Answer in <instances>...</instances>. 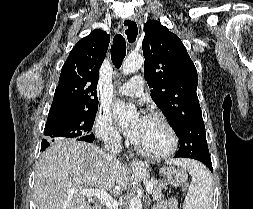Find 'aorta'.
Here are the masks:
<instances>
[{
    "instance_id": "aorta-1",
    "label": "aorta",
    "mask_w": 253,
    "mask_h": 209,
    "mask_svg": "<svg viewBox=\"0 0 253 209\" xmlns=\"http://www.w3.org/2000/svg\"><path fill=\"white\" fill-rule=\"evenodd\" d=\"M144 63L142 55H129L122 63L121 71L124 75H128L139 70ZM113 113L119 118L121 126H127L136 115V109L132 105L117 100L113 105ZM143 205L138 197H133L130 201L128 209H142Z\"/></svg>"
}]
</instances>
